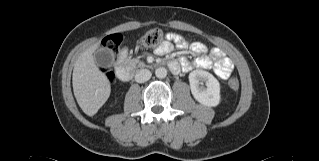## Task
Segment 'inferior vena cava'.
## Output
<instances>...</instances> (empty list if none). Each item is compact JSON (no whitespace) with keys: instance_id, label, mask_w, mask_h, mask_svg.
Listing matches in <instances>:
<instances>
[{"instance_id":"obj_1","label":"inferior vena cava","mask_w":319,"mask_h":161,"mask_svg":"<svg viewBox=\"0 0 319 161\" xmlns=\"http://www.w3.org/2000/svg\"><path fill=\"white\" fill-rule=\"evenodd\" d=\"M151 78V72L148 69H141L135 75V81L144 83Z\"/></svg>"}]
</instances>
